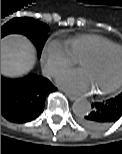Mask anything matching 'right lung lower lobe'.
Wrapping results in <instances>:
<instances>
[{
	"instance_id": "1",
	"label": "right lung lower lobe",
	"mask_w": 122,
	"mask_h": 154,
	"mask_svg": "<svg viewBox=\"0 0 122 154\" xmlns=\"http://www.w3.org/2000/svg\"><path fill=\"white\" fill-rule=\"evenodd\" d=\"M55 90L48 79L32 73L19 79L1 76V115L15 123L34 120L44 110L46 95Z\"/></svg>"
}]
</instances>
